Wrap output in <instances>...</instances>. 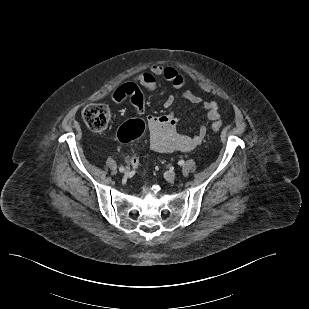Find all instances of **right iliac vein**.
<instances>
[{
    "instance_id": "right-iliac-vein-1",
    "label": "right iliac vein",
    "mask_w": 309,
    "mask_h": 309,
    "mask_svg": "<svg viewBox=\"0 0 309 309\" xmlns=\"http://www.w3.org/2000/svg\"><path fill=\"white\" fill-rule=\"evenodd\" d=\"M129 172H130V169H129V168H126V169L124 170L125 175H128Z\"/></svg>"
}]
</instances>
